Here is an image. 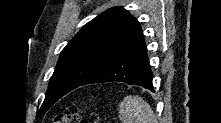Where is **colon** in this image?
I'll return each mask as SVG.
<instances>
[{
	"mask_svg": "<svg viewBox=\"0 0 221 123\" xmlns=\"http://www.w3.org/2000/svg\"><path fill=\"white\" fill-rule=\"evenodd\" d=\"M53 123H88V121L78 113L62 112L54 116Z\"/></svg>",
	"mask_w": 221,
	"mask_h": 123,
	"instance_id": "colon-1",
	"label": "colon"
}]
</instances>
